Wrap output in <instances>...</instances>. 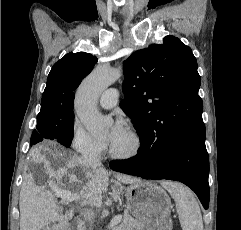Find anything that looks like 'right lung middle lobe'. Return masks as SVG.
<instances>
[{"instance_id": "right-lung-middle-lobe-1", "label": "right lung middle lobe", "mask_w": 241, "mask_h": 230, "mask_svg": "<svg viewBox=\"0 0 241 230\" xmlns=\"http://www.w3.org/2000/svg\"><path fill=\"white\" fill-rule=\"evenodd\" d=\"M74 113L40 112L37 126L31 136V146L41 141L55 140L70 147L73 139Z\"/></svg>"}]
</instances>
